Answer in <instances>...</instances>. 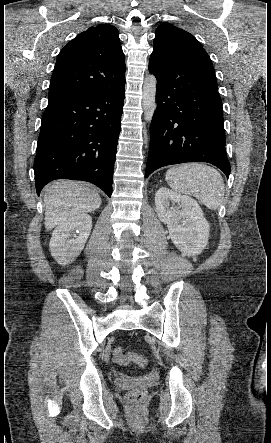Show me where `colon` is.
Instances as JSON below:
<instances>
[{"instance_id": "colon-1", "label": "colon", "mask_w": 271, "mask_h": 443, "mask_svg": "<svg viewBox=\"0 0 271 443\" xmlns=\"http://www.w3.org/2000/svg\"><path fill=\"white\" fill-rule=\"evenodd\" d=\"M113 360L120 365L135 364L142 367L146 364V359L143 355L126 352L122 347H117L114 350ZM143 396L144 392L142 389H134L129 392L127 399L131 404H137L143 399Z\"/></svg>"}]
</instances>
